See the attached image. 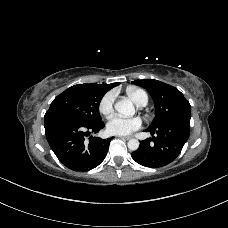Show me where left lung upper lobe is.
Segmentation results:
<instances>
[{
    "label": "left lung upper lobe",
    "instance_id": "1",
    "mask_svg": "<svg viewBox=\"0 0 228 228\" xmlns=\"http://www.w3.org/2000/svg\"><path fill=\"white\" fill-rule=\"evenodd\" d=\"M132 83L145 88L154 100L155 118L148 129H157L165 123L191 115L189 102L177 88L154 79L135 80Z\"/></svg>",
    "mask_w": 228,
    "mask_h": 228
}]
</instances>
